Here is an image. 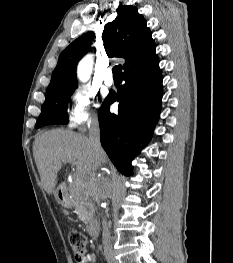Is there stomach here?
Here are the masks:
<instances>
[{
	"instance_id": "1",
	"label": "stomach",
	"mask_w": 233,
	"mask_h": 263,
	"mask_svg": "<svg viewBox=\"0 0 233 263\" xmlns=\"http://www.w3.org/2000/svg\"><path fill=\"white\" fill-rule=\"evenodd\" d=\"M55 196H56V199H57V201H58L59 204H61V205L64 206V207L69 206V199H68V197L63 193V188H62V187H59V188L56 190Z\"/></svg>"
}]
</instances>
